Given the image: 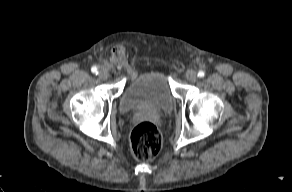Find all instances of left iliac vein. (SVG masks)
Instances as JSON below:
<instances>
[{
    "mask_svg": "<svg viewBox=\"0 0 292 192\" xmlns=\"http://www.w3.org/2000/svg\"><path fill=\"white\" fill-rule=\"evenodd\" d=\"M186 78L190 81V82H196L198 75L194 70H188L186 73Z\"/></svg>",
    "mask_w": 292,
    "mask_h": 192,
    "instance_id": "left-iliac-vein-1",
    "label": "left iliac vein"
}]
</instances>
